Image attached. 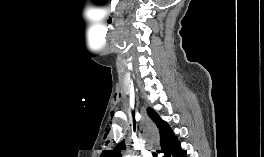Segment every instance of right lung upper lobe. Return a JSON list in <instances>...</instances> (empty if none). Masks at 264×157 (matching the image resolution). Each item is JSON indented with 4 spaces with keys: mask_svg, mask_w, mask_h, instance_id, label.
I'll return each instance as SVG.
<instances>
[{
    "mask_svg": "<svg viewBox=\"0 0 264 157\" xmlns=\"http://www.w3.org/2000/svg\"><path fill=\"white\" fill-rule=\"evenodd\" d=\"M147 112L159 128L160 145L162 148L161 152H164L168 147L173 144L175 140H177V137L174 135L168 124L163 121L152 108H148ZM125 149L126 147L123 140L115 147L114 150H104L101 157H121L120 152Z\"/></svg>",
    "mask_w": 264,
    "mask_h": 157,
    "instance_id": "obj_1",
    "label": "right lung upper lobe"
}]
</instances>
